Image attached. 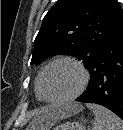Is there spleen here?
<instances>
[{
	"mask_svg": "<svg viewBox=\"0 0 123 130\" xmlns=\"http://www.w3.org/2000/svg\"><path fill=\"white\" fill-rule=\"evenodd\" d=\"M94 114L93 130H123V120L107 108L97 104H87Z\"/></svg>",
	"mask_w": 123,
	"mask_h": 130,
	"instance_id": "1",
	"label": "spleen"
}]
</instances>
